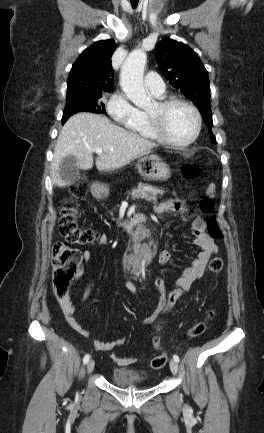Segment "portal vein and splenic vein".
I'll use <instances>...</instances> for the list:
<instances>
[{
	"instance_id": "1",
	"label": "portal vein and splenic vein",
	"mask_w": 264,
	"mask_h": 433,
	"mask_svg": "<svg viewBox=\"0 0 264 433\" xmlns=\"http://www.w3.org/2000/svg\"><path fill=\"white\" fill-rule=\"evenodd\" d=\"M94 152L98 155H101L103 153V149L102 148H96V149H94Z\"/></svg>"
}]
</instances>
